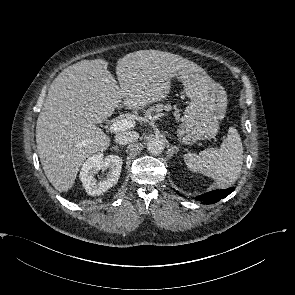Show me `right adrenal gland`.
I'll return each mask as SVG.
<instances>
[{
	"mask_svg": "<svg viewBox=\"0 0 295 295\" xmlns=\"http://www.w3.org/2000/svg\"><path fill=\"white\" fill-rule=\"evenodd\" d=\"M112 149H114L115 151L119 150V146H113Z\"/></svg>",
	"mask_w": 295,
	"mask_h": 295,
	"instance_id": "1",
	"label": "right adrenal gland"
}]
</instances>
